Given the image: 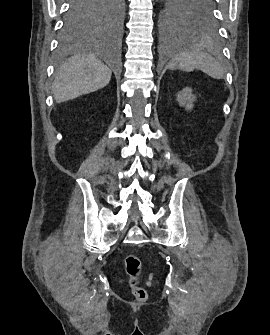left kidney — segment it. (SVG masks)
Segmentation results:
<instances>
[{"mask_svg": "<svg viewBox=\"0 0 270 335\" xmlns=\"http://www.w3.org/2000/svg\"><path fill=\"white\" fill-rule=\"evenodd\" d=\"M195 100L196 98L192 94L191 88H184L177 94V102H179L180 106H184L185 110H192Z\"/></svg>", "mask_w": 270, "mask_h": 335, "instance_id": "left-kidney-1", "label": "left kidney"}]
</instances>
